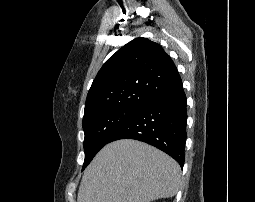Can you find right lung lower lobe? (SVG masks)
Segmentation results:
<instances>
[{
    "mask_svg": "<svg viewBox=\"0 0 255 202\" xmlns=\"http://www.w3.org/2000/svg\"><path fill=\"white\" fill-rule=\"evenodd\" d=\"M186 95L183 87L159 95L143 106L110 138L135 139L153 145L184 165Z\"/></svg>",
    "mask_w": 255,
    "mask_h": 202,
    "instance_id": "right-lung-lower-lobe-1",
    "label": "right lung lower lobe"
}]
</instances>
